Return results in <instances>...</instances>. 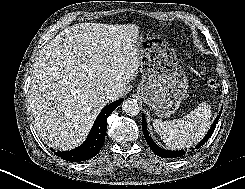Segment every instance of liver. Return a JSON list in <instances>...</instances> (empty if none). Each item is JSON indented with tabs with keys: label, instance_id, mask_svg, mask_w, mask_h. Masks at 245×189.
<instances>
[{
	"label": "liver",
	"instance_id": "liver-1",
	"mask_svg": "<svg viewBox=\"0 0 245 189\" xmlns=\"http://www.w3.org/2000/svg\"><path fill=\"white\" fill-rule=\"evenodd\" d=\"M135 24H74L39 53L29 91L35 128L44 143L70 150L84 140L109 100L138 75ZM106 88L114 89L111 99Z\"/></svg>",
	"mask_w": 245,
	"mask_h": 189
}]
</instances>
